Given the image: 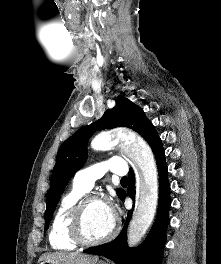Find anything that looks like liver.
<instances>
[{"instance_id":"1","label":"liver","mask_w":221,"mask_h":264,"mask_svg":"<svg viewBox=\"0 0 221 264\" xmlns=\"http://www.w3.org/2000/svg\"><path fill=\"white\" fill-rule=\"evenodd\" d=\"M97 260V256L64 252L44 253L39 258L51 264H96Z\"/></svg>"}]
</instances>
